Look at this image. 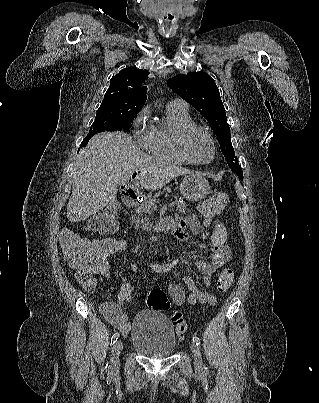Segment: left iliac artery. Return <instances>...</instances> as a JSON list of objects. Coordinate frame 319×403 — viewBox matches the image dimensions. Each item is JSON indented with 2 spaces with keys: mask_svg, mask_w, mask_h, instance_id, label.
Here are the masks:
<instances>
[{
  "mask_svg": "<svg viewBox=\"0 0 319 403\" xmlns=\"http://www.w3.org/2000/svg\"><path fill=\"white\" fill-rule=\"evenodd\" d=\"M193 342H195L197 346H200V345H201V341H200V339H199L197 336H194V337H193ZM205 369H206V367H205Z\"/></svg>",
  "mask_w": 319,
  "mask_h": 403,
  "instance_id": "44dca946",
  "label": "left iliac artery"
}]
</instances>
